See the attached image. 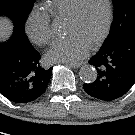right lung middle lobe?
<instances>
[{
	"mask_svg": "<svg viewBox=\"0 0 135 135\" xmlns=\"http://www.w3.org/2000/svg\"><path fill=\"white\" fill-rule=\"evenodd\" d=\"M36 0H0V15L9 17L16 29L24 31V24Z\"/></svg>",
	"mask_w": 135,
	"mask_h": 135,
	"instance_id": "1",
	"label": "right lung middle lobe"
}]
</instances>
